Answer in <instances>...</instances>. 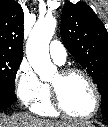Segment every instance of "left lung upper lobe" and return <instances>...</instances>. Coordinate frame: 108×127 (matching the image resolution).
Returning <instances> with one entry per match:
<instances>
[{
  "label": "left lung upper lobe",
  "instance_id": "left-lung-upper-lobe-1",
  "mask_svg": "<svg viewBox=\"0 0 108 127\" xmlns=\"http://www.w3.org/2000/svg\"><path fill=\"white\" fill-rule=\"evenodd\" d=\"M69 53L87 70L102 97V115L108 119V33L86 3L67 1L60 27Z\"/></svg>",
  "mask_w": 108,
  "mask_h": 127
}]
</instances>
